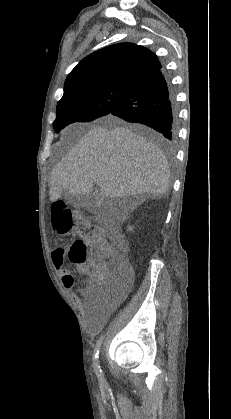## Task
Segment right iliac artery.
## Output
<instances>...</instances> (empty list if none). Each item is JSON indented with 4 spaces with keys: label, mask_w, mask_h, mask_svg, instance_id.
<instances>
[{
    "label": "right iliac artery",
    "mask_w": 231,
    "mask_h": 419,
    "mask_svg": "<svg viewBox=\"0 0 231 419\" xmlns=\"http://www.w3.org/2000/svg\"><path fill=\"white\" fill-rule=\"evenodd\" d=\"M102 340H103V336H101L97 340L96 345H95V349H94V354H93V367H94V371H95V373H96V375L98 376L99 379H102V370L100 368L99 359H98L99 358V349H100V346L102 344Z\"/></svg>",
    "instance_id": "right-iliac-artery-1"
}]
</instances>
